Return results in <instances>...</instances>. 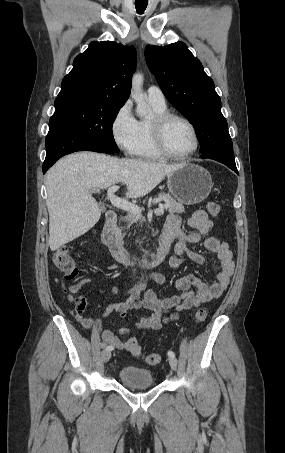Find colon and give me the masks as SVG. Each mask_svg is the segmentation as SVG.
I'll use <instances>...</instances> for the list:
<instances>
[{"instance_id":"1","label":"colon","mask_w":285,"mask_h":453,"mask_svg":"<svg viewBox=\"0 0 285 453\" xmlns=\"http://www.w3.org/2000/svg\"><path fill=\"white\" fill-rule=\"evenodd\" d=\"M206 208L209 214L213 217L218 216L221 212V206L217 202H207ZM52 262L57 269L66 274L68 279L74 278L78 273L76 259L68 247L59 248L54 253ZM206 318L207 309L205 307L199 308L194 315V319L197 323L204 322ZM125 349L134 356H140L142 354L141 347L135 337H129L126 339ZM144 360L148 365H157L160 362L161 357L157 353H150L144 357Z\"/></svg>"}]
</instances>
